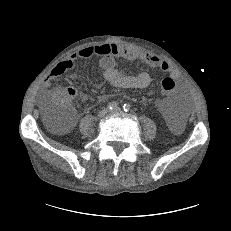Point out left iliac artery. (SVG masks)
<instances>
[{
  "label": "left iliac artery",
  "instance_id": "obj_1",
  "mask_svg": "<svg viewBox=\"0 0 231 231\" xmlns=\"http://www.w3.org/2000/svg\"><path fill=\"white\" fill-rule=\"evenodd\" d=\"M130 107H131V106H130L129 104H124V105H123V109H124L125 112L129 111V110H130Z\"/></svg>",
  "mask_w": 231,
  "mask_h": 231
}]
</instances>
